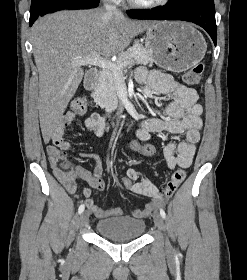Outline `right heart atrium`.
Here are the masks:
<instances>
[{"instance_id":"obj_1","label":"right heart atrium","mask_w":247,"mask_h":280,"mask_svg":"<svg viewBox=\"0 0 247 280\" xmlns=\"http://www.w3.org/2000/svg\"><path fill=\"white\" fill-rule=\"evenodd\" d=\"M108 1H111V2L117 3L119 0H108Z\"/></svg>"}]
</instances>
